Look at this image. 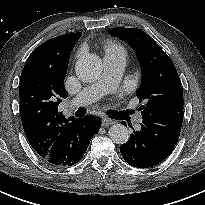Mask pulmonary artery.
<instances>
[{"instance_id":"obj_1","label":"pulmonary artery","mask_w":205,"mask_h":205,"mask_svg":"<svg viewBox=\"0 0 205 205\" xmlns=\"http://www.w3.org/2000/svg\"><path fill=\"white\" fill-rule=\"evenodd\" d=\"M126 65L124 56H104V72L95 82L85 86L73 99L75 106H85L114 90L119 84ZM142 118L137 119L140 128Z\"/></svg>"}]
</instances>
